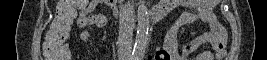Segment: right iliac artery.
I'll use <instances>...</instances> for the list:
<instances>
[{
  "mask_svg": "<svg viewBox=\"0 0 267 60\" xmlns=\"http://www.w3.org/2000/svg\"><path fill=\"white\" fill-rule=\"evenodd\" d=\"M138 54L132 53V55L129 57V60H138Z\"/></svg>",
  "mask_w": 267,
  "mask_h": 60,
  "instance_id": "obj_1",
  "label": "right iliac artery"
}]
</instances>
